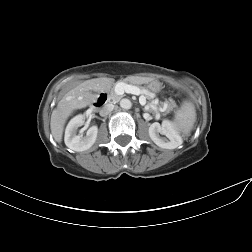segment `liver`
<instances>
[{
  "mask_svg": "<svg viewBox=\"0 0 252 252\" xmlns=\"http://www.w3.org/2000/svg\"><path fill=\"white\" fill-rule=\"evenodd\" d=\"M132 83H146L149 78L129 77ZM114 82L112 78H96L84 81L63 97L57 108L53 110L51 115V133L56 142L60 143L63 136V129L67 118L77 109L84 108L96 100V95L91 91L103 92L109 90Z\"/></svg>",
  "mask_w": 252,
  "mask_h": 252,
  "instance_id": "6515ba94",
  "label": "liver"
}]
</instances>
